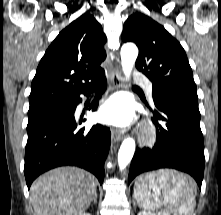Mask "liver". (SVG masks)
Wrapping results in <instances>:
<instances>
[{"label":"liver","mask_w":221,"mask_h":215,"mask_svg":"<svg viewBox=\"0 0 221 215\" xmlns=\"http://www.w3.org/2000/svg\"><path fill=\"white\" fill-rule=\"evenodd\" d=\"M96 193L94 177L76 167H60L41 175L31 185L36 215H81Z\"/></svg>","instance_id":"obj_1"}]
</instances>
